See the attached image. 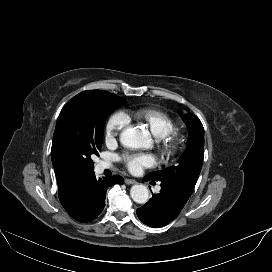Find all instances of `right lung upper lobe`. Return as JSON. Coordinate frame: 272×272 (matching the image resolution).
Wrapping results in <instances>:
<instances>
[{
  "label": "right lung upper lobe",
  "mask_w": 272,
  "mask_h": 272,
  "mask_svg": "<svg viewBox=\"0 0 272 272\" xmlns=\"http://www.w3.org/2000/svg\"><path fill=\"white\" fill-rule=\"evenodd\" d=\"M51 158L59 187V199L62 206L67 208L74 202L92 173L76 174L69 162L53 149L51 150Z\"/></svg>",
  "instance_id": "1"
}]
</instances>
